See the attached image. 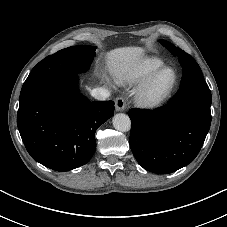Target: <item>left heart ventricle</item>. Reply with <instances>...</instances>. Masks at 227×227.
I'll return each mask as SVG.
<instances>
[{"label":"left heart ventricle","instance_id":"obj_1","mask_svg":"<svg viewBox=\"0 0 227 227\" xmlns=\"http://www.w3.org/2000/svg\"><path fill=\"white\" fill-rule=\"evenodd\" d=\"M173 81V74L170 71L163 72L155 84L156 91H162L166 89Z\"/></svg>","mask_w":227,"mask_h":227}]
</instances>
